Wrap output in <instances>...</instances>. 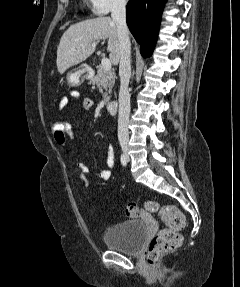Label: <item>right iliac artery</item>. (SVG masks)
I'll return each mask as SVG.
<instances>
[{"label": "right iliac artery", "instance_id": "right-iliac-artery-1", "mask_svg": "<svg viewBox=\"0 0 240 287\" xmlns=\"http://www.w3.org/2000/svg\"><path fill=\"white\" fill-rule=\"evenodd\" d=\"M120 160H121V164H122L123 166H126V164H127V160H126V157H125V155H124V154H122V155H121Z\"/></svg>", "mask_w": 240, "mask_h": 287}]
</instances>
